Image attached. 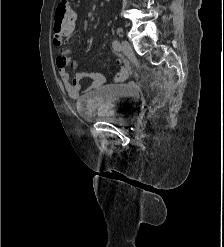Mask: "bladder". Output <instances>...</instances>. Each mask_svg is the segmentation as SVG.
I'll return each mask as SVG.
<instances>
[{
  "mask_svg": "<svg viewBox=\"0 0 224 247\" xmlns=\"http://www.w3.org/2000/svg\"><path fill=\"white\" fill-rule=\"evenodd\" d=\"M139 103L140 94L134 86L103 85L90 96L86 117L90 121L129 126L137 116Z\"/></svg>",
  "mask_w": 224,
  "mask_h": 247,
  "instance_id": "bladder-1",
  "label": "bladder"
}]
</instances>
